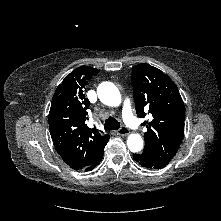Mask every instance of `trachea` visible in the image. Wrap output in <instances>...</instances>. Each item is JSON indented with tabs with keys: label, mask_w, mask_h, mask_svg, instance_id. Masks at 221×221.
Listing matches in <instances>:
<instances>
[{
	"label": "trachea",
	"mask_w": 221,
	"mask_h": 221,
	"mask_svg": "<svg viewBox=\"0 0 221 221\" xmlns=\"http://www.w3.org/2000/svg\"><path fill=\"white\" fill-rule=\"evenodd\" d=\"M104 128L106 130H118L120 128V122L114 117H109L104 123Z\"/></svg>",
	"instance_id": "3493384b"
}]
</instances>
